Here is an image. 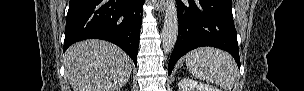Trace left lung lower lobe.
<instances>
[{"mask_svg": "<svg viewBox=\"0 0 304 91\" xmlns=\"http://www.w3.org/2000/svg\"><path fill=\"white\" fill-rule=\"evenodd\" d=\"M232 0H177L178 38L171 54L168 74L188 51L213 46L229 52L240 67L237 33L232 15Z\"/></svg>", "mask_w": 304, "mask_h": 91, "instance_id": "obj_1", "label": "left lung lower lobe"}]
</instances>
